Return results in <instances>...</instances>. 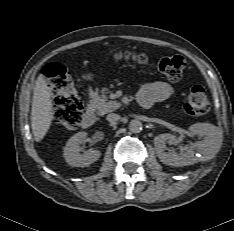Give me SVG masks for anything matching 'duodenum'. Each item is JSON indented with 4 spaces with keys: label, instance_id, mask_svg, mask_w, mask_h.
I'll return each instance as SVG.
<instances>
[{
    "label": "duodenum",
    "instance_id": "410a0bca",
    "mask_svg": "<svg viewBox=\"0 0 234 231\" xmlns=\"http://www.w3.org/2000/svg\"><path fill=\"white\" fill-rule=\"evenodd\" d=\"M95 120H96L95 113L92 109H87L82 115V125L85 128H89V127L93 126L95 123Z\"/></svg>",
    "mask_w": 234,
    "mask_h": 231
}]
</instances>
